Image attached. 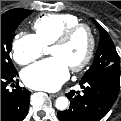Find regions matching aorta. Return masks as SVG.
Returning <instances> with one entry per match:
<instances>
[{
	"label": "aorta",
	"mask_w": 121,
	"mask_h": 121,
	"mask_svg": "<svg viewBox=\"0 0 121 121\" xmlns=\"http://www.w3.org/2000/svg\"><path fill=\"white\" fill-rule=\"evenodd\" d=\"M55 106L58 110L63 111L66 110L69 106V100L66 97H58L56 99Z\"/></svg>",
	"instance_id": "obj_1"
}]
</instances>
